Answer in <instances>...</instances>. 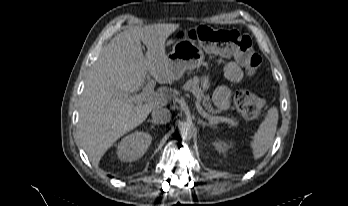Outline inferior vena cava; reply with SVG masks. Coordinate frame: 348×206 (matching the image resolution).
Returning a JSON list of instances; mask_svg holds the SVG:
<instances>
[{"instance_id":"obj_1","label":"inferior vena cava","mask_w":348,"mask_h":206,"mask_svg":"<svg viewBox=\"0 0 348 206\" xmlns=\"http://www.w3.org/2000/svg\"><path fill=\"white\" fill-rule=\"evenodd\" d=\"M152 118L158 124H166L171 120V112L166 108L158 107L152 111Z\"/></svg>"}]
</instances>
